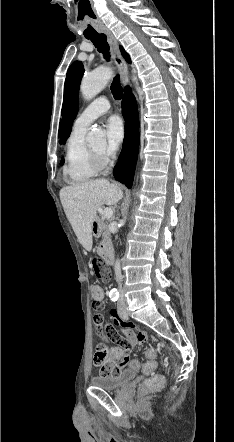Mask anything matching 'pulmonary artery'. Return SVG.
I'll use <instances>...</instances> for the list:
<instances>
[{
	"label": "pulmonary artery",
	"mask_w": 234,
	"mask_h": 442,
	"mask_svg": "<svg viewBox=\"0 0 234 442\" xmlns=\"http://www.w3.org/2000/svg\"><path fill=\"white\" fill-rule=\"evenodd\" d=\"M110 109L109 100L104 97H98L93 100L77 117L74 126L80 129H87L88 126L100 115Z\"/></svg>",
	"instance_id": "1"
}]
</instances>
